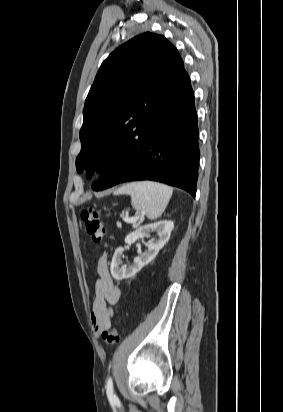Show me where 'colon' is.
I'll use <instances>...</instances> for the list:
<instances>
[{
  "label": "colon",
  "mask_w": 283,
  "mask_h": 412,
  "mask_svg": "<svg viewBox=\"0 0 283 412\" xmlns=\"http://www.w3.org/2000/svg\"><path fill=\"white\" fill-rule=\"evenodd\" d=\"M81 221L84 224L86 233L95 241L101 242L105 236V229L100 220V213L95 208H86L80 212ZM101 337L106 344L113 345L119 341V333L113 328H106L102 331Z\"/></svg>",
  "instance_id": "obj_1"
}]
</instances>
